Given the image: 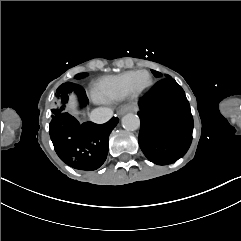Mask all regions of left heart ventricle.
I'll use <instances>...</instances> for the list:
<instances>
[{"label": "left heart ventricle", "mask_w": 241, "mask_h": 241, "mask_svg": "<svg viewBox=\"0 0 241 241\" xmlns=\"http://www.w3.org/2000/svg\"><path fill=\"white\" fill-rule=\"evenodd\" d=\"M129 94L131 96H138L140 94V87L138 85H131L129 87Z\"/></svg>", "instance_id": "b2bd125f"}]
</instances>
